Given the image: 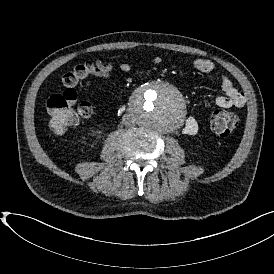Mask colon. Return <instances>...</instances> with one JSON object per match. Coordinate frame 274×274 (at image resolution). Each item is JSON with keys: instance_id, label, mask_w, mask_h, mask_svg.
Returning <instances> with one entry per match:
<instances>
[{"instance_id": "5ec220e1", "label": "colon", "mask_w": 274, "mask_h": 274, "mask_svg": "<svg viewBox=\"0 0 274 274\" xmlns=\"http://www.w3.org/2000/svg\"><path fill=\"white\" fill-rule=\"evenodd\" d=\"M98 62H89L75 66L62 76V83L66 87L63 94H53L47 100V109L52 115L49 130L52 135L59 136L69 128L77 125L81 119L88 118L92 113V106L88 101H78L79 89L87 77L98 73ZM238 124V117L233 112L218 110L211 117V129L219 136L231 134Z\"/></svg>"}]
</instances>
